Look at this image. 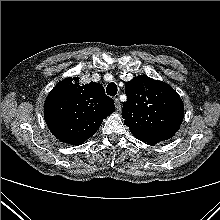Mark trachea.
Instances as JSON below:
<instances>
[{
	"label": "trachea",
	"instance_id": "3493384b",
	"mask_svg": "<svg viewBox=\"0 0 220 220\" xmlns=\"http://www.w3.org/2000/svg\"><path fill=\"white\" fill-rule=\"evenodd\" d=\"M117 85L115 83H109L107 88H106V92H107V95L109 96H115L117 94Z\"/></svg>",
	"mask_w": 220,
	"mask_h": 220
}]
</instances>
